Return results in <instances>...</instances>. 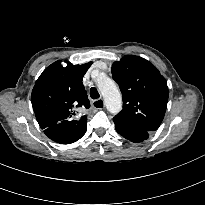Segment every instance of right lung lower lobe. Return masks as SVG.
<instances>
[{
    "mask_svg": "<svg viewBox=\"0 0 205 205\" xmlns=\"http://www.w3.org/2000/svg\"><path fill=\"white\" fill-rule=\"evenodd\" d=\"M57 131L56 127H48L46 129H44V133L53 141L61 143V144H69V143H65V141H63L61 138H58L55 133Z\"/></svg>",
    "mask_w": 205,
    "mask_h": 205,
    "instance_id": "right-lung-lower-lobe-1",
    "label": "right lung lower lobe"
}]
</instances>
